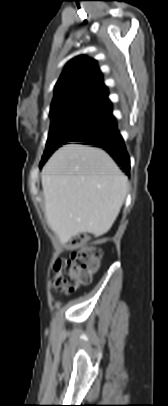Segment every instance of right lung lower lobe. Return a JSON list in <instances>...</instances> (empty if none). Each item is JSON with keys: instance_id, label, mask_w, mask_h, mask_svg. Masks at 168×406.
<instances>
[{"instance_id": "obj_1", "label": "right lung lower lobe", "mask_w": 168, "mask_h": 406, "mask_svg": "<svg viewBox=\"0 0 168 406\" xmlns=\"http://www.w3.org/2000/svg\"><path fill=\"white\" fill-rule=\"evenodd\" d=\"M77 142L104 149L126 173H129L130 159L115 120L106 127L77 140Z\"/></svg>"}]
</instances>
